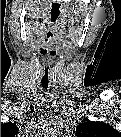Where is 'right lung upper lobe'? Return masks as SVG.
Here are the masks:
<instances>
[{"mask_svg":"<svg viewBox=\"0 0 121 137\" xmlns=\"http://www.w3.org/2000/svg\"><path fill=\"white\" fill-rule=\"evenodd\" d=\"M16 125L14 123H4L1 124V132L9 134V131H16Z\"/></svg>","mask_w":121,"mask_h":137,"instance_id":"right-lung-upper-lobe-1","label":"right lung upper lobe"}]
</instances>
